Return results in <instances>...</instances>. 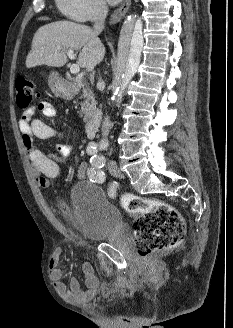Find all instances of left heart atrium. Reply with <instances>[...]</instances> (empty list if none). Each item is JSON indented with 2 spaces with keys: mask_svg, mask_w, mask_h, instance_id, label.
Returning a JSON list of instances; mask_svg holds the SVG:
<instances>
[{
  "mask_svg": "<svg viewBox=\"0 0 233 328\" xmlns=\"http://www.w3.org/2000/svg\"><path fill=\"white\" fill-rule=\"evenodd\" d=\"M121 0H108V2L112 5H115L117 3H119Z\"/></svg>",
  "mask_w": 233,
  "mask_h": 328,
  "instance_id": "39dd6f15",
  "label": "left heart atrium"
}]
</instances>
